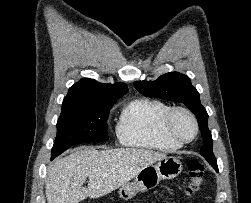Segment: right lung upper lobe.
<instances>
[{
    "mask_svg": "<svg viewBox=\"0 0 251 203\" xmlns=\"http://www.w3.org/2000/svg\"><path fill=\"white\" fill-rule=\"evenodd\" d=\"M128 91L123 83L103 84L84 78L70 87L62 105L75 103L116 102Z\"/></svg>",
    "mask_w": 251,
    "mask_h": 203,
    "instance_id": "obj_1",
    "label": "right lung upper lobe"
}]
</instances>
